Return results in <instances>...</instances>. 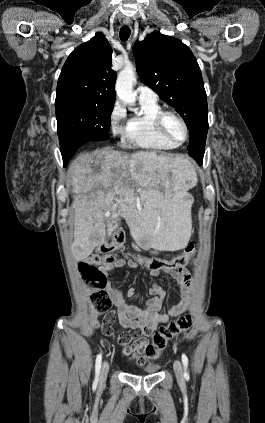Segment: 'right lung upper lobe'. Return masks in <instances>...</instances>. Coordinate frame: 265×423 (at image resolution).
Masks as SVG:
<instances>
[{
    "label": "right lung upper lobe",
    "instance_id": "right-lung-upper-lobe-1",
    "mask_svg": "<svg viewBox=\"0 0 265 423\" xmlns=\"http://www.w3.org/2000/svg\"><path fill=\"white\" fill-rule=\"evenodd\" d=\"M111 62L112 49L101 34L78 46L62 68L56 101L77 99L113 106L116 73Z\"/></svg>",
    "mask_w": 265,
    "mask_h": 423
}]
</instances>
